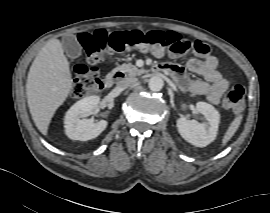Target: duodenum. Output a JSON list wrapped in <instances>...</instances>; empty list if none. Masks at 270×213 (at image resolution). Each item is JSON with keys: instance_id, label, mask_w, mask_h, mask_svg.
<instances>
[{"instance_id": "1", "label": "duodenum", "mask_w": 270, "mask_h": 213, "mask_svg": "<svg viewBox=\"0 0 270 213\" xmlns=\"http://www.w3.org/2000/svg\"><path fill=\"white\" fill-rule=\"evenodd\" d=\"M125 78V74L120 71L112 72L108 74L103 80V87L105 89L112 88L118 81H121Z\"/></svg>"}]
</instances>
